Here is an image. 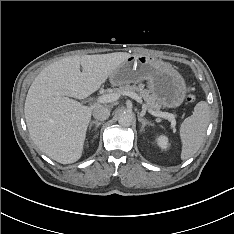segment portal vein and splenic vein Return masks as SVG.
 <instances>
[{"mask_svg":"<svg viewBox=\"0 0 234 234\" xmlns=\"http://www.w3.org/2000/svg\"><path fill=\"white\" fill-rule=\"evenodd\" d=\"M121 95L129 96L132 99H135L137 102L142 103L141 98L134 92H125L123 94H120V93L105 94V95H102V96L98 97L97 102H99V103H111V102H114V101L118 100ZM142 107L145 108V109H148L145 104H143ZM148 111L153 116L168 119V120H170L172 122L173 125H175V116L173 114L168 113V112L152 111L150 109H148Z\"/></svg>","mask_w":234,"mask_h":234,"instance_id":"portal-vein-and-splenic-vein-1","label":"portal vein and splenic vein"}]
</instances>
